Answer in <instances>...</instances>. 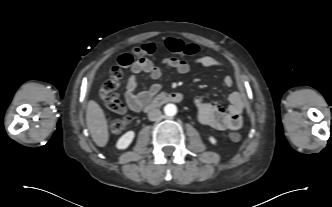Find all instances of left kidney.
I'll list each match as a JSON object with an SVG mask.
<instances>
[{
    "instance_id": "1",
    "label": "left kidney",
    "mask_w": 332,
    "mask_h": 207,
    "mask_svg": "<svg viewBox=\"0 0 332 207\" xmlns=\"http://www.w3.org/2000/svg\"><path fill=\"white\" fill-rule=\"evenodd\" d=\"M209 141L213 145H216V143H217L216 139L214 137H212V136L209 137Z\"/></svg>"
}]
</instances>
